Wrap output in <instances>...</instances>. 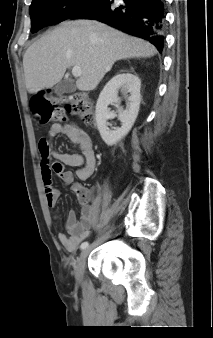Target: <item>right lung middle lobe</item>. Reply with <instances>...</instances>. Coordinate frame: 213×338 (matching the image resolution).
Segmentation results:
<instances>
[{"instance_id": "1", "label": "right lung middle lobe", "mask_w": 213, "mask_h": 338, "mask_svg": "<svg viewBox=\"0 0 213 338\" xmlns=\"http://www.w3.org/2000/svg\"><path fill=\"white\" fill-rule=\"evenodd\" d=\"M95 0H33L29 8L31 32L55 25L72 17L74 13Z\"/></svg>"}]
</instances>
